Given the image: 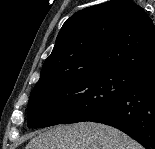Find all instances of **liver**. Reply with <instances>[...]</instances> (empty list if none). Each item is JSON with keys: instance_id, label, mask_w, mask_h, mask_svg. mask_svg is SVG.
<instances>
[{"instance_id": "liver-1", "label": "liver", "mask_w": 155, "mask_h": 149, "mask_svg": "<svg viewBox=\"0 0 155 149\" xmlns=\"http://www.w3.org/2000/svg\"><path fill=\"white\" fill-rule=\"evenodd\" d=\"M25 149H143V147L111 126L80 122L53 127L33 137Z\"/></svg>"}]
</instances>
